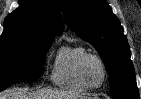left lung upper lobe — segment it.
Returning <instances> with one entry per match:
<instances>
[{"label":"left lung upper lobe","mask_w":141,"mask_h":99,"mask_svg":"<svg viewBox=\"0 0 141 99\" xmlns=\"http://www.w3.org/2000/svg\"><path fill=\"white\" fill-rule=\"evenodd\" d=\"M71 30L91 43L103 58L114 99H137L131 52L123 27L106 0H61Z\"/></svg>","instance_id":"left-lung-upper-lobe-1"}]
</instances>
